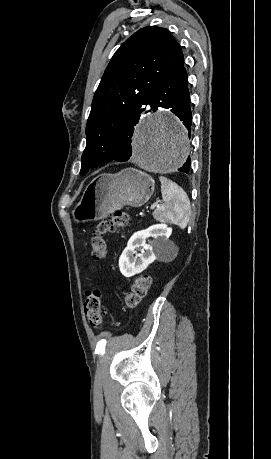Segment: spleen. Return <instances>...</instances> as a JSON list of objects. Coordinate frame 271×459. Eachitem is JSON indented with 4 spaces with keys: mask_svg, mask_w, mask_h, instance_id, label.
I'll return each mask as SVG.
<instances>
[{
    "mask_svg": "<svg viewBox=\"0 0 271 459\" xmlns=\"http://www.w3.org/2000/svg\"><path fill=\"white\" fill-rule=\"evenodd\" d=\"M159 180L165 204L155 210V218L159 222H169V224H176L181 229L186 228L191 214L190 206L187 204L188 196H186L182 188H179L177 184H174L168 178L159 176Z\"/></svg>",
    "mask_w": 271,
    "mask_h": 459,
    "instance_id": "spleen-1",
    "label": "spleen"
}]
</instances>
